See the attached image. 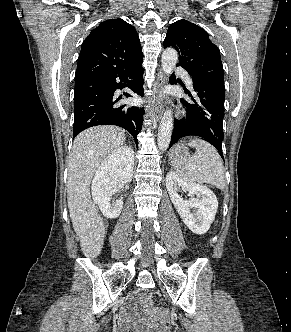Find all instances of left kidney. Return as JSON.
I'll return each mask as SVG.
<instances>
[{"instance_id": "5707ae66", "label": "left kidney", "mask_w": 291, "mask_h": 332, "mask_svg": "<svg viewBox=\"0 0 291 332\" xmlns=\"http://www.w3.org/2000/svg\"><path fill=\"white\" fill-rule=\"evenodd\" d=\"M166 188L185 225L195 234L206 233L218 209V201L212 190L202 184L184 180L173 171L166 175ZM181 189L188 192L189 200L179 194ZM191 210L196 211L192 213Z\"/></svg>"}]
</instances>
